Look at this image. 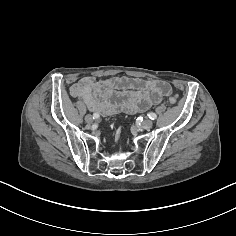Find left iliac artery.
<instances>
[{"label":"left iliac artery","instance_id":"44dca946","mask_svg":"<svg viewBox=\"0 0 236 236\" xmlns=\"http://www.w3.org/2000/svg\"><path fill=\"white\" fill-rule=\"evenodd\" d=\"M147 116L151 119V120H155L157 118V115L153 112H149L147 114Z\"/></svg>","mask_w":236,"mask_h":236}]
</instances>
